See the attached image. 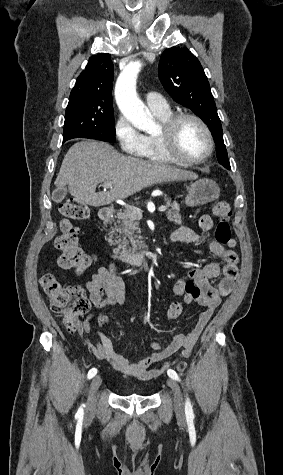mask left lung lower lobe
<instances>
[{
  "instance_id": "1",
  "label": "left lung lower lobe",
  "mask_w": 283,
  "mask_h": 475,
  "mask_svg": "<svg viewBox=\"0 0 283 475\" xmlns=\"http://www.w3.org/2000/svg\"><path fill=\"white\" fill-rule=\"evenodd\" d=\"M214 141L216 143V151L218 162L223 165L226 169H231L230 163L228 160L227 151L223 141V135L213 134Z\"/></svg>"
}]
</instances>
